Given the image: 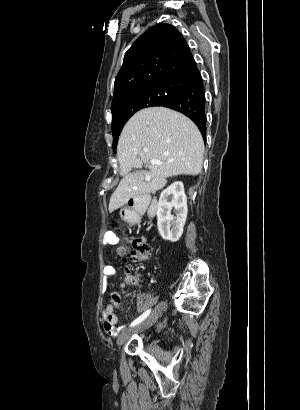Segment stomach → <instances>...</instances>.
Here are the masks:
<instances>
[{
	"label": "stomach",
	"mask_w": 300,
	"mask_h": 410,
	"mask_svg": "<svg viewBox=\"0 0 300 410\" xmlns=\"http://www.w3.org/2000/svg\"><path fill=\"white\" fill-rule=\"evenodd\" d=\"M125 214H126V210L123 209V210L120 212V215L123 216V215H125Z\"/></svg>",
	"instance_id": "stomach-1"
}]
</instances>
